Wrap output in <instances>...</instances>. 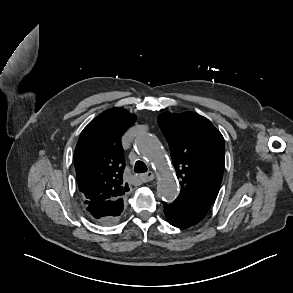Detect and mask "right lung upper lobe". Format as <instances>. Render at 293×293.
<instances>
[{"instance_id": "right-lung-upper-lobe-1", "label": "right lung upper lobe", "mask_w": 293, "mask_h": 293, "mask_svg": "<svg viewBox=\"0 0 293 293\" xmlns=\"http://www.w3.org/2000/svg\"><path fill=\"white\" fill-rule=\"evenodd\" d=\"M136 116L121 108L104 111L80 134L74 153L76 179L85 204L123 198L125 167L121 136Z\"/></svg>"}]
</instances>
